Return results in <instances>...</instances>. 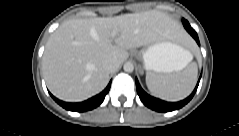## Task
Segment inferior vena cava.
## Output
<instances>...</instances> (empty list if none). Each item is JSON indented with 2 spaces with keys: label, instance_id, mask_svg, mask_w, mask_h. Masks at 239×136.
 <instances>
[{
  "label": "inferior vena cava",
  "instance_id": "inferior-vena-cava-1",
  "mask_svg": "<svg viewBox=\"0 0 239 136\" xmlns=\"http://www.w3.org/2000/svg\"><path fill=\"white\" fill-rule=\"evenodd\" d=\"M119 65V62L116 59H106L102 63L103 68L108 70L109 72L116 71Z\"/></svg>",
  "mask_w": 239,
  "mask_h": 136
}]
</instances>
